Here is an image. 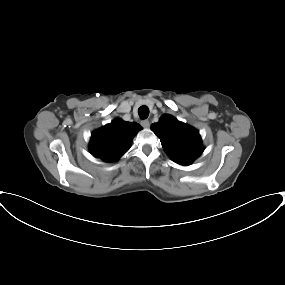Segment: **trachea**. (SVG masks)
Masks as SVG:
<instances>
[{
    "mask_svg": "<svg viewBox=\"0 0 285 285\" xmlns=\"http://www.w3.org/2000/svg\"><path fill=\"white\" fill-rule=\"evenodd\" d=\"M138 114L141 119H146L149 116V109L147 106H141L138 109Z\"/></svg>",
    "mask_w": 285,
    "mask_h": 285,
    "instance_id": "1",
    "label": "trachea"
}]
</instances>
